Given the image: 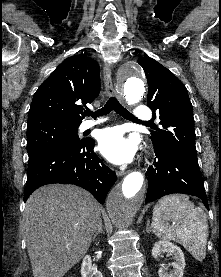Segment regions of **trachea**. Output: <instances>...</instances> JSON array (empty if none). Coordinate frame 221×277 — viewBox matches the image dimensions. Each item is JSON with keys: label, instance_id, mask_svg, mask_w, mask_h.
<instances>
[{"label": "trachea", "instance_id": "trachea-1", "mask_svg": "<svg viewBox=\"0 0 221 277\" xmlns=\"http://www.w3.org/2000/svg\"><path fill=\"white\" fill-rule=\"evenodd\" d=\"M112 110H114L117 114L121 115L124 118L139 121L135 116H133L130 112H128L115 97L109 98V100L106 102V104L99 109L98 111L92 112V111H86L85 115L92 116L93 118H97L100 116H104L106 114H109Z\"/></svg>", "mask_w": 221, "mask_h": 277}]
</instances>
